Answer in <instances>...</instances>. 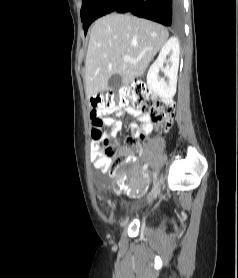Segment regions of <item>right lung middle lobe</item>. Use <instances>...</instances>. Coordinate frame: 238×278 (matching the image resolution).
I'll return each mask as SVG.
<instances>
[{"label":"right lung middle lobe","instance_id":"dd1d6c3e","mask_svg":"<svg viewBox=\"0 0 238 278\" xmlns=\"http://www.w3.org/2000/svg\"><path fill=\"white\" fill-rule=\"evenodd\" d=\"M99 1L100 0H83L81 8V21L83 22V28L85 33L87 32V29L89 27L88 14Z\"/></svg>","mask_w":238,"mask_h":278}]
</instances>
